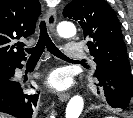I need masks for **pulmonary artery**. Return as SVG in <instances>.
I'll list each match as a JSON object with an SVG mask.
<instances>
[{"instance_id":"obj_1","label":"pulmonary artery","mask_w":133,"mask_h":118,"mask_svg":"<svg viewBox=\"0 0 133 118\" xmlns=\"http://www.w3.org/2000/svg\"><path fill=\"white\" fill-rule=\"evenodd\" d=\"M65 56L71 59H79V58H84L85 53L80 45L75 43H68L65 46Z\"/></svg>"}]
</instances>
